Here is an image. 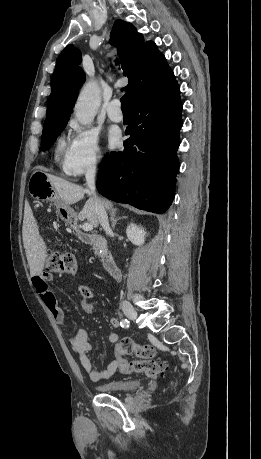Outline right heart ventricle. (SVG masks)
I'll list each match as a JSON object with an SVG mask.
<instances>
[{"instance_id":"e07e8e85","label":"right heart ventricle","mask_w":261,"mask_h":459,"mask_svg":"<svg viewBox=\"0 0 261 459\" xmlns=\"http://www.w3.org/2000/svg\"><path fill=\"white\" fill-rule=\"evenodd\" d=\"M69 152L70 143L64 137L59 138L54 151V159L63 168L64 171Z\"/></svg>"}]
</instances>
